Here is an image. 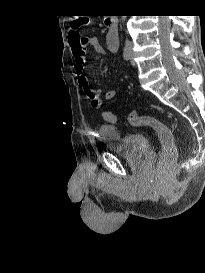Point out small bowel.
Wrapping results in <instances>:
<instances>
[{
    "mask_svg": "<svg viewBox=\"0 0 205 273\" xmlns=\"http://www.w3.org/2000/svg\"><path fill=\"white\" fill-rule=\"evenodd\" d=\"M84 45H80L72 41L71 47L74 57V70L77 77V81L79 87L83 91L84 95L90 101V104L93 108H100L103 104L101 99V91L100 89H95L90 86V80L88 74L85 72V64H86V49L85 47H89L93 52L97 54L103 53V47L99 43L96 37H83ZM107 47L110 51L115 52L117 50V40L116 34L111 32L110 30L106 36ZM116 96V91L114 89H110L106 92L105 97L108 100L113 99ZM108 111L103 113V118L105 119V115ZM111 113V112H110ZM106 120V119H105Z\"/></svg>",
    "mask_w": 205,
    "mask_h": 273,
    "instance_id": "obj_1",
    "label": "small bowel"
}]
</instances>
